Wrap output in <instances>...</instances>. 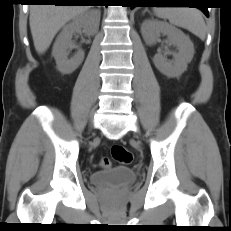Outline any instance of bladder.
Here are the masks:
<instances>
[{
  "mask_svg": "<svg viewBox=\"0 0 231 231\" xmlns=\"http://www.w3.org/2000/svg\"><path fill=\"white\" fill-rule=\"evenodd\" d=\"M136 179V173L125 167L103 170L89 176L92 185L100 188H122L132 185Z\"/></svg>",
  "mask_w": 231,
  "mask_h": 231,
  "instance_id": "bladder-1",
  "label": "bladder"
}]
</instances>
